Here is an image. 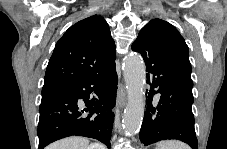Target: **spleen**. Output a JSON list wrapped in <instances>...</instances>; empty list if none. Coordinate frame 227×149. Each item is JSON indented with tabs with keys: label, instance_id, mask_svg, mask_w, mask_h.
Returning <instances> with one entry per match:
<instances>
[{
	"label": "spleen",
	"instance_id": "obj_1",
	"mask_svg": "<svg viewBox=\"0 0 227 149\" xmlns=\"http://www.w3.org/2000/svg\"><path fill=\"white\" fill-rule=\"evenodd\" d=\"M155 149H190V148L180 141H161L156 145Z\"/></svg>",
	"mask_w": 227,
	"mask_h": 149
}]
</instances>
